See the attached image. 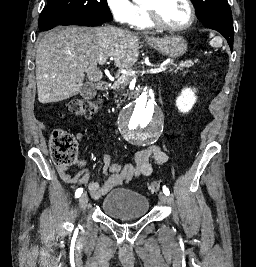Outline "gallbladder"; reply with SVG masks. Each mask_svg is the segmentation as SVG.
I'll return each mask as SVG.
<instances>
[{"instance_id":"obj_1","label":"gallbladder","mask_w":256,"mask_h":267,"mask_svg":"<svg viewBox=\"0 0 256 267\" xmlns=\"http://www.w3.org/2000/svg\"><path fill=\"white\" fill-rule=\"evenodd\" d=\"M97 94V86L96 84H84L80 90V96L84 98V100H92L94 96Z\"/></svg>"}]
</instances>
